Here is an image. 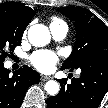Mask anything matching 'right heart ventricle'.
Returning <instances> with one entry per match:
<instances>
[{
    "mask_svg": "<svg viewBox=\"0 0 108 108\" xmlns=\"http://www.w3.org/2000/svg\"><path fill=\"white\" fill-rule=\"evenodd\" d=\"M61 22H62L61 20L55 18V19L52 20L51 24H53V23H61Z\"/></svg>",
    "mask_w": 108,
    "mask_h": 108,
    "instance_id": "right-heart-ventricle-1",
    "label": "right heart ventricle"
}]
</instances>
